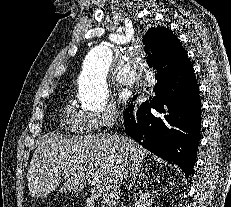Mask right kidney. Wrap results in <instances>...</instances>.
<instances>
[{"label": "right kidney", "mask_w": 231, "mask_h": 207, "mask_svg": "<svg viewBox=\"0 0 231 207\" xmlns=\"http://www.w3.org/2000/svg\"><path fill=\"white\" fill-rule=\"evenodd\" d=\"M153 198L151 193H142L135 202L136 207H152Z\"/></svg>", "instance_id": "1"}]
</instances>
